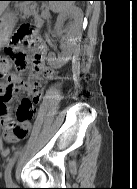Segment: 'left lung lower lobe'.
I'll return each instance as SVG.
<instances>
[{"mask_svg":"<svg viewBox=\"0 0 137 189\" xmlns=\"http://www.w3.org/2000/svg\"><path fill=\"white\" fill-rule=\"evenodd\" d=\"M73 1H88V0H73Z\"/></svg>","mask_w":137,"mask_h":189,"instance_id":"obj_1","label":"left lung lower lobe"}]
</instances>
